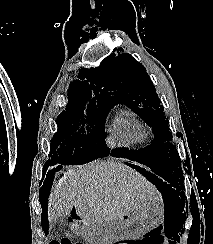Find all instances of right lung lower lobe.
<instances>
[{
    "mask_svg": "<svg viewBox=\"0 0 213 244\" xmlns=\"http://www.w3.org/2000/svg\"><path fill=\"white\" fill-rule=\"evenodd\" d=\"M47 168V167H46ZM62 168V166L61 165H58V166H56L55 167V169H53V171L54 170H60ZM53 173L52 172H48V174H47V177H46V180H45V182H44V185H43V187H42V189L40 190V202H41V205H42V208L44 209V196L46 195V192H47V194H48V191H50V187H51V183H52V181H53ZM43 213H44V210H43Z\"/></svg>",
    "mask_w": 213,
    "mask_h": 244,
    "instance_id": "right-lung-lower-lobe-1",
    "label": "right lung lower lobe"
}]
</instances>
